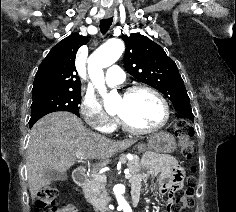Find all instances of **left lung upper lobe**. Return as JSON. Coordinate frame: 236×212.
<instances>
[{
	"instance_id": "obj_1",
	"label": "left lung upper lobe",
	"mask_w": 236,
	"mask_h": 212,
	"mask_svg": "<svg viewBox=\"0 0 236 212\" xmlns=\"http://www.w3.org/2000/svg\"><path fill=\"white\" fill-rule=\"evenodd\" d=\"M123 40L126 44V71L163 93L176 111L181 107H190V99L177 65L163 48L140 33L124 35Z\"/></svg>"
}]
</instances>
